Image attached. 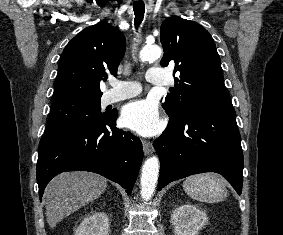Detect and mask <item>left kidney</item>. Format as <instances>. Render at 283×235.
Masks as SVG:
<instances>
[{
  "instance_id": "left-kidney-1",
  "label": "left kidney",
  "mask_w": 283,
  "mask_h": 235,
  "mask_svg": "<svg viewBox=\"0 0 283 235\" xmlns=\"http://www.w3.org/2000/svg\"><path fill=\"white\" fill-rule=\"evenodd\" d=\"M207 222V214L191 204L177 207L171 218L175 235H198Z\"/></svg>"
}]
</instances>
